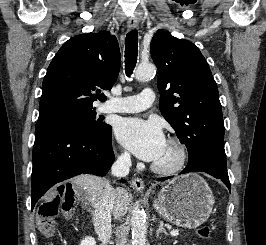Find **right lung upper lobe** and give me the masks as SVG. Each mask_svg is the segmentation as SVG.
Listing matches in <instances>:
<instances>
[{
  "instance_id": "right-lung-upper-lobe-1",
  "label": "right lung upper lobe",
  "mask_w": 266,
  "mask_h": 245,
  "mask_svg": "<svg viewBox=\"0 0 266 245\" xmlns=\"http://www.w3.org/2000/svg\"><path fill=\"white\" fill-rule=\"evenodd\" d=\"M120 69L117 39L109 31L87 33L72 37L56 53L42 84L39 120L62 114L94 109L102 88L110 90Z\"/></svg>"
}]
</instances>
